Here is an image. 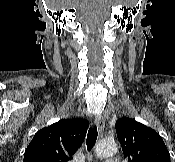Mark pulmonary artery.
I'll return each instance as SVG.
<instances>
[{"label": "pulmonary artery", "instance_id": "1", "mask_svg": "<svg viewBox=\"0 0 175 162\" xmlns=\"http://www.w3.org/2000/svg\"><path fill=\"white\" fill-rule=\"evenodd\" d=\"M105 162H118V161L115 160V159L110 158V159L105 160Z\"/></svg>", "mask_w": 175, "mask_h": 162}]
</instances>
